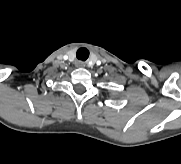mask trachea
Returning <instances> with one entry per match:
<instances>
[{"label": "trachea", "mask_w": 181, "mask_h": 164, "mask_svg": "<svg viewBox=\"0 0 181 164\" xmlns=\"http://www.w3.org/2000/svg\"><path fill=\"white\" fill-rule=\"evenodd\" d=\"M76 57L79 60L85 61L89 57V50L87 48H79L76 53Z\"/></svg>", "instance_id": "1"}]
</instances>
